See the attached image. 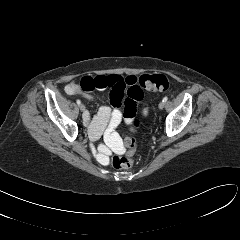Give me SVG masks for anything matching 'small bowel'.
<instances>
[{"mask_svg":"<svg viewBox=\"0 0 240 240\" xmlns=\"http://www.w3.org/2000/svg\"><path fill=\"white\" fill-rule=\"evenodd\" d=\"M138 78L134 75L126 77L120 75H98L95 77L85 76L80 83L71 82L67 85L66 91L71 95H81L87 99H92L91 91L94 89L110 88V101L113 108L102 107L98 114L92 119L89 113H86L83 118L89 127V132L92 138L98 139L105 129L112 132L121 122L122 113L120 110L125 92L129 87L137 85ZM143 114H147L146 106L143 108Z\"/></svg>","mask_w":240,"mask_h":240,"instance_id":"c3829d8e","label":"small bowel"}]
</instances>
